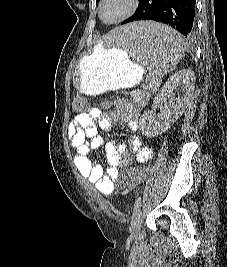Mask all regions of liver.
Here are the masks:
<instances>
[{"label":"liver","instance_id":"6515ba94","mask_svg":"<svg viewBox=\"0 0 227 267\" xmlns=\"http://www.w3.org/2000/svg\"><path fill=\"white\" fill-rule=\"evenodd\" d=\"M111 33H117V30L114 29ZM96 48H97V49H101L102 47H97V46H96Z\"/></svg>","mask_w":227,"mask_h":267}]
</instances>
